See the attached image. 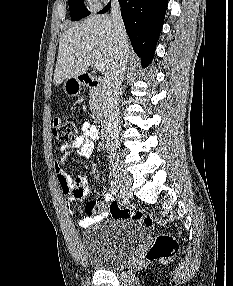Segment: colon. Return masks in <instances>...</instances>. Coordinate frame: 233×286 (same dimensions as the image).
Segmentation results:
<instances>
[{
	"mask_svg": "<svg viewBox=\"0 0 233 286\" xmlns=\"http://www.w3.org/2000/svg\"><path fill=\"white\" fill-rule=\"evenodd\" d=\"M78 118L76 116L56 117L53 122L54 137L64 143H71L75 140L78 131ZM109 211L114 218H129L144 222L147 226L153 223L152 217L135 208L134 206H120L113 201ZM178 250L177 241L169 235H158L146 254L149 261H165L172 258Z\"/></svg>",
	"mask_w": 233,
	"mask_h": 286,
	"instance_id": "colon-1",
	"label": "colon"
}]
</instances>
